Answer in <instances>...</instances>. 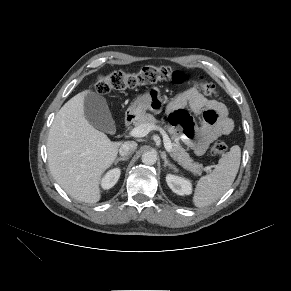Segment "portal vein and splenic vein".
<instances>
[{"instance_id": "portal-vein-and-splenic-vein-1", "label": "portal vein and splenic vein", "mask_w": 291, "mask_h": 291, "mask_svg": "<svg viewBox=\"0 0 291 291\" xmlns=\"http://www.w3.org/2000/svg\"><path fill=\"white\" fill-rule=\"evenodd\" d=\"M151 130H160V132L162 133L163 135V141H164V146H165V149L168 153H170L172 151V147H173V144L171 143V140L169 138V136L166 134V132L160 128V127H157V126H150V125H147V124H142L140 126H137L135 128H133L130 132H129V135L131 137H135V138H138V137H144L146 136ZM207 170H211L210 167L207 168Z\"/></svg>"}]
</instances>
